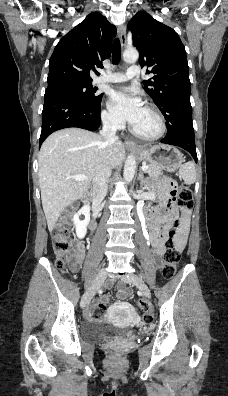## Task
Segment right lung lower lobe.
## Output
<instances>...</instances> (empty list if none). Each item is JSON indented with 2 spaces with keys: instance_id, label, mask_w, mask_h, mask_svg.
I'll return each mask as SVG.
<instances>
[{
  "instance_id": "1",
  "label": "right lung lower lobe",
  "mask_w": 228,
  "mask_h": 396,
  "mask_svg": "<svg viewBox=\"0 0 228 396\" xmlns=\"http://www.w3.org/2000/svg\"><path fill=\"white\" fill-rule=\"evenodd\" d=\"M100 109L101 102L87 105L66 93L45 94L40 146L51 133L63 128L78 127L90 131L98 129Z\"/></svg>"
}]
</instances>
